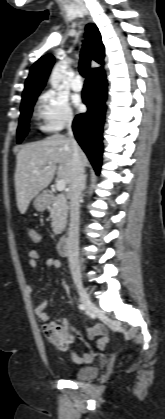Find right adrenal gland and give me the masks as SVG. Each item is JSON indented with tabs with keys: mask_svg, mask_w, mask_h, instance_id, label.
Masks as SVG:
<instances>
[{
	"mask_svg": "<svg viewBox=\"0 0 165 419\" xmlns=\"http://www.w3.org/2000/svg\"><path fill=\"white\" fill-rule=\"evenodd\" d=\"M86 178H87V174L84 175V180H83V189L86 188Z\"/></svg>",
	"mask_w": 165,
	"mask_h": 419,
	"instance_id": "obj_1",
	"label": "right adrenal gland"
}]
</instances>
